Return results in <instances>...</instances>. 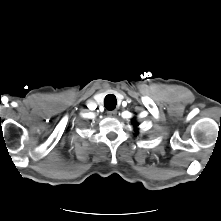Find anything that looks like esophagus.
<instances>
[{
    "label": "esophagus",
    "instance_id": "1",
    "mask_svg": "<svg viewBox=\"0 0 221 221\" xmlns=\"http://www.w3.org/2000/svg\"><path fill=\"white\" fill-rule=\"evenodd\" d=\"M107 114L109 117H115L117 115V111L116 110L108 111Z\"/></svg>",
    "mask_w": 221,
    "mask_h": 221
}]
</instances>
